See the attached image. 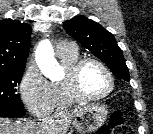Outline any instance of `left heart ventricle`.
<instances>
[{
  "label": "left heart ventricle",
  "instance_id": "obj_1",
  "mask_svg": "<svg viewBox=\"0 0 153 134\" xmlns=\"http://www.w3.org/2000/svg\"><path fill=\"white\" fill-rule=\"evenodd\" d=\"M80 85L85 94L99 95L109 88L110 82L106 73L98 65L91 63L82 70Z\"/></svg>",
  "mask_w": 153,
  "mask_h": 134
}]
</instances>
